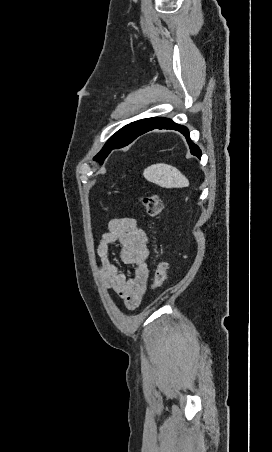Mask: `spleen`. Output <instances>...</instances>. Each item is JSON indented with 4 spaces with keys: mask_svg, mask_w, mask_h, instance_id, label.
<instances>
[{
    "mask_svg": "<svg viewBox=\"0 0 272 452\" xmlns=\"http://www.w3.org/2000/svg\"><path fill=\"white\" fill-rule=\"evenodd\" d=\"M144 177L154 184L164 188H182L189 186L188 179L175 167L158 163L147 167Z\"/></svg>",
    "mask_w": 272,
    "mask_h": 452,
    "instance_id": "1",
    "label": "spleen"
}]
</instances>
